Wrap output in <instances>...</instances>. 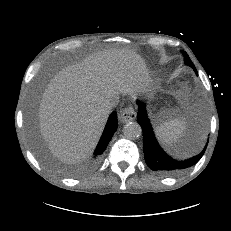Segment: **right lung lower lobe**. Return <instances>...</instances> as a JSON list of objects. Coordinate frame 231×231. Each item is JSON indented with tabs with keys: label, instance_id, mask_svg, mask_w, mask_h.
I'll use <instances>...</instances> for the list:
<instances>
[{
	"label": "right lung lower lobe",
	"instance_id": "1",
	"mask_svg": "<svg viewBox=\"0 0 231 231\" xmlns=\"http://www.w3.org/2000/svg\"><path fill=\"white\" fill-rule=\"evenodd\" d=\"M117 126H118L117 114L116 112H113L109 117L103 135L96 148V151L94 152V163H97L99 161L100 155L105 151L108 143L110 142L114 132L117 129Z\"/></svg>",
	"mask_w": 231,
	"mask_h": 231
}]
</instances>
